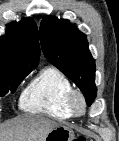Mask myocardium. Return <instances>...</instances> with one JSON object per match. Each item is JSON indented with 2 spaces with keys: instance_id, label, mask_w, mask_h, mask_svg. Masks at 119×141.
<instances>
[{
  "instance_id": "obj_1",
  "label": "myocardium",
  "mask_w": 119,
  "mask_h": 141,
  "mask_svg": "<svg viewBox=\"0 0 119 141\" xmlns=\"http://www.w3.org/2000/svg\"><path fill=\"white\" fill-rule=\"evenodd\" d=\"M66 106L71 116H82L86 112V99L81 91L72 89L66 96Z\"/></svg>"
}]
</instances>
